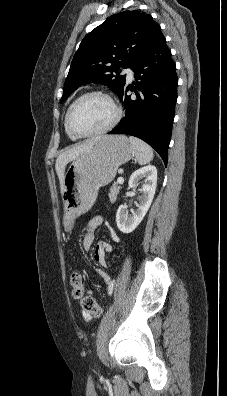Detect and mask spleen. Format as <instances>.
Returning <instances> with one entry per match:
<instances>
[{"mask_svg":"<svg viewBox=\"0 0 227 396\" xmlns=\"http://www.w3.org/2000/svg\"><path fill=\"white\" fill-rule=\"evenodd\" d=\"M129 141L133 146L136 160L140 165L147 164L153 159V150L148 144L132 136L129 137Z\"/></svg>","mask_w":227,"mask_h":396,"instance_id":"obj_1","label":"spleen"}]
</instances>
